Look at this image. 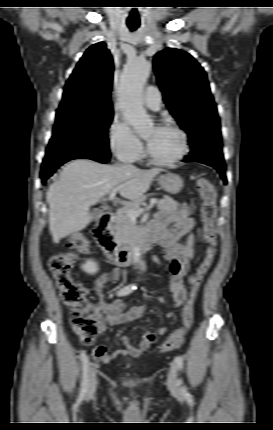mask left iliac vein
Wrapping results in <instances>:
<instances>
[{"label": "left iliac vein", "instance_id": "left-iliac-vein-1", "mask_svg": "<svg viewBox=\"0 0 273 430\" xmlns=\"http://www.w3.org/2000/svg\"><path fill=\"white\" fill-rule=\"evenodd\" d=\"M167 385L173 391L177 390L179 386L178 377H177V366L174 363L172 364L170 371L168 373Z\"/></svg>", "mask_w": 273, "mask_h": 430}]
</instances>
